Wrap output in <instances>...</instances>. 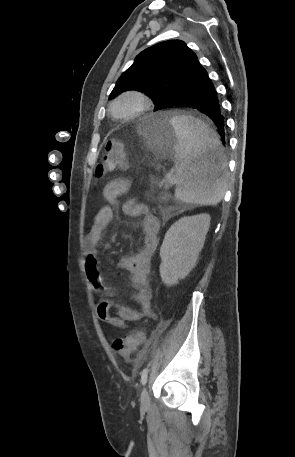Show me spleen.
Listing matches in <instances>:
<instances>
[{"instance_id":"1","label":"spleen","mask_w":295,"mask_h":457,"mask_svg":"<svg viewBox=\"0 0 295 457\" xmlns=\"http://www.w3.org/2000/svg\"><path fill=\"white\" fill-rule=\"evenodd\" d=\"M171 123L178 137L175 151V197L198 205H217L227 190L226 167L217 133L200 119L176 115ZM216 154L213 162L207 153Z\"/></svg>"}]
</instances>
